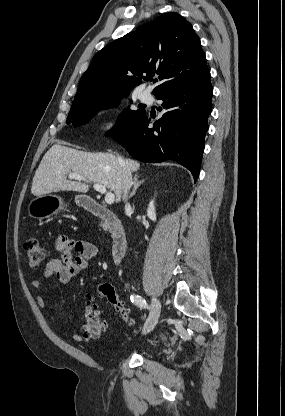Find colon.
<instances>
[{
	"mask_svg": "<svg viewBox=\"0 0 285 416\" xmlns=\"http://www.w3.org/2000/svg\"><path fill=\"white\" fill-rule=\"evenodd\" d=\"M24 248L29 264L32 267L40 266L47 258L45 248L34 238L28 239L24 244ZM98 292L113 307L115 312L121 316L124 322L128 324L133 323L128 307L119 299L112 285L108 283L100 284L98 286ZM84 319L85 323L82 328L83 337L86 340L100 339L106 331L107 323L102 317V311L99 306L90 298L85 304Z\"/></svg>",
	"mask_w": 285,
	"mask_h": 416,
	"instance_id": "obj_1",
	"label": "colon"
}]
</instances>
